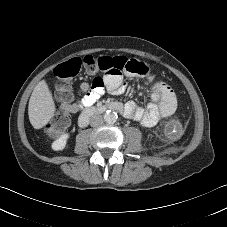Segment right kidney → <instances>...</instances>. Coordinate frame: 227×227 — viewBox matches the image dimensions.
Segmentation results:
<instances>
[{
  "mask_svg": "<svg viewBox=\"0 0 227 227\" xmlns=\"http://www.w3.org/2000/svg\"><path fill=\"white\" fill-rule=\"evenodd\" d=\"M68 138H69L68 133L62 134L58 139H56L52 143V149L55 151L63 150L66 146Z\"/></svg>",
  "mask_w": 227,
  "mask_h": 227,
  "instance_id": "1",
  "label": "right kidney"
}]
</instances>
